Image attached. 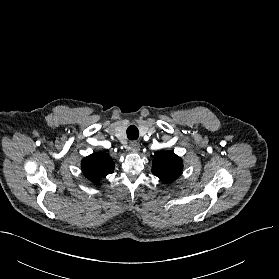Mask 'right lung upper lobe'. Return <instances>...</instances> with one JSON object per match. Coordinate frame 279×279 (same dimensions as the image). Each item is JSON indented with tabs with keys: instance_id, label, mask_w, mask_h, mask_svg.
<instances>
[{
	"instance_id": "1",
	"label": "right lung upper lobe",
	"mask_w": 279,
	"mask_h": 279,
	"mask_svg": "<svg viewBox=\"0 0 279 279\" xmlns=\"http://www.w3.org/2000/svg\"><path fill=\"white\" fill-rule=\"evenodd\" d=\"M82 170L85 176L98 183L101 178L114 170L113 160L104 153H93L82 160Z\"/></svg>"
}]
</instances>
